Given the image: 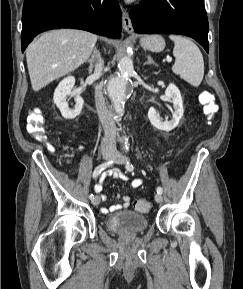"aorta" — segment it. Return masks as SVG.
<instances>
[{
	"mask_svg": "<svg viewBox=\"0 0 243 289\" xmlns=\"http://www.w3.org/2000/svg\"><path fill=\"white\" fill-rule=\"evenodd\" d=\"M134 73L133 62L129 56H123L118 63V73L108 81L107 91L114 110L123 115L126 92L130 77ZM128 149V146H125Z\"/></svg>",
	"mask_w": 243,
	"mask_h": 289,
	"instance_id": "1",
	"label": "aorta"
}]
</instances>
